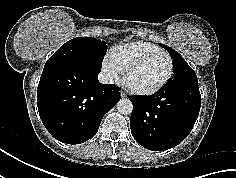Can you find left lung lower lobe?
<instances>
[{"mask_svg": "<svg viewBox=\"0 0 236 178\" xmlns=\"http://www.w3.org/2000/svg\"><path fill=\"white\" fill-rule=\"evenodd\" d=\"M133 104L131 133L148 150L163 151L180 144L199 114L198 80H171L148 97H129Z\"/></svg>", "mask_w": 236, "mask_h": 178, "instance_id": "1", "label": "left lung lower lobe"}]
</instances>
